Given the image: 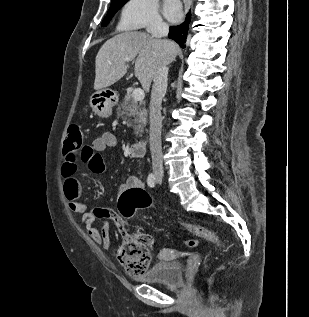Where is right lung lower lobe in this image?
<instances>
[{
  "label": "right lung lower lobe",
  "mask_w": 309,
  "mask_h": 317,
  "mask_svg": "<svg viewBox=\"0 0 309 317\" xmlns=\"http://www.w3.org/2000/svg\"><path fill=\"white\" fill-rule=\"evenodd\" d=\"M190 20H191V13H188L186 15L185 22H183L179 26L170 27L168 37L170 39L175 40L182 48L185 47Z\"/></svg>",
  "instance_id": "1"
}]
</instances>
